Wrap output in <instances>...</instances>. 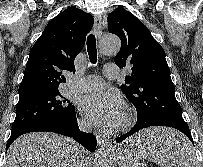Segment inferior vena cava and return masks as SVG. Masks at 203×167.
Segmentation results:
<instances>
[{
	"mask_svg": "<svg viewBox=\"0 0 203 167\" xmlns=\"http://www.w3.org/2000/svg\"><path fill=\"white\" fill-rule=\"evenodd\" d=\"M79 128L83 131H90L91 130V125L87 124L86 122H79ZM82 167H86L85 163L82 160Z\"/></svg>",
	"mask_w": 203,
	"mask_h": 167,
	"instance_id": "1",
	"label": "inferior vena cava"
}]
</instances>
